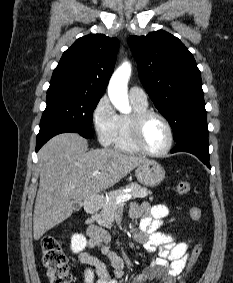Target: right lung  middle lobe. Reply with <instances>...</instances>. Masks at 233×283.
<instances>
[{"label":"right lung middle lobe","mask_w":233,"mask_h":283,"mask_svg":"<svg viewBox=\"0 0 233 283\" xmlns=\"http://www.w3.org/2000/svg\"><path fill=\"white\" fill-rule=\"evenodd\" d=\"M100 98L67 88L49 87L39 134L51 129H69L92 138L93 110Z\"/></svg>","instance_id":"dd1d6c3e"}]
</instances>
